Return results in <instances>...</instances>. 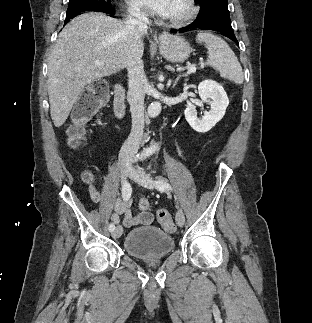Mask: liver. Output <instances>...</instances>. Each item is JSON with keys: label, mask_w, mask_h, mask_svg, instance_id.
I'll use <instances>...</instances> for the list:
<instances>
[{"label": "liver", "mask_w": 312, "mask_h": 323, "mask_svg": "<svg viewBox=\"0 0 312 323\" xmlns=\"http://www.w3.org/2000/svg\"><path fill=\"white\" fill-rule=\"evenodd\" d=\"M132 50L133 38L120 20L100 12L73 18L60 32L48 62V96L54 126H63L85 86L127 68ZM95 62L103 66H94Z\"/></svg>", "instance_id": "1"}]
</instances>
